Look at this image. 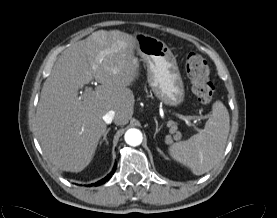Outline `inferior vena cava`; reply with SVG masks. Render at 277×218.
Instances as JSON below:
<instances>
[{
	"label": "inferior vena cava",
	"instance_id": "1",
	"mask_svg": "<svg viewBox=\"0 0 277 218\" xmlns=\"http://www.w3.org/2000/svg\"><path fill=\"white\" fill-rule=\"evenodd\" d=\"M115 118V111L110 110L108 111L104 116H103V120L105 123L110 124L113 119Z\"/></svg>",
	"mask_w": 277,
	"mask_h": 218
}]
</instances>
